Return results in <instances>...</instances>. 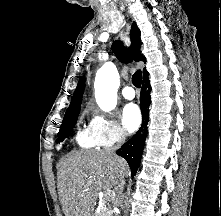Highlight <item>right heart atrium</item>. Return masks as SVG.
Masks as SVG:
<instances>
[{
    "label": "right heart atrium",
    "mask_w": 221,
    "mask_h": 216,
    "mask_svg": "<svg viewBox=\"0 0 221 216\" xmlns=\"http://www.w3.org/2000/svg\"><path fill=\"white\" fill-rule=\"evenodd\" d=\"M89 130L99 147H111L123 142L127 137L125 129L117 120L103 114L93 115Z\"/></svg>",
    "instance_id": "right-heart-atrium-1"
}]
</instances>
